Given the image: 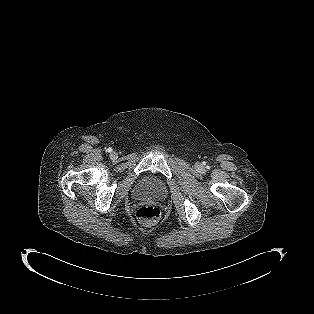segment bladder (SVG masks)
I'll use <instances>...</instances> for the list:
<instances>
[{
    "instance_id": "1",
    "label": "bladder",
    "mask_w": 314,
    "mask_h": 314,
    "mask_svg": "<svg viewBox=\"0 0 314 314\" xmlns=\"http://www.w3.org/2000/svg\"><path fill=\"white\" fill-rule=\"evenodd\" d=\"M166 192L167 189L164 182L157 178H147L137 187V193L140 196L157 200L163 199Z\"/></svg>"
}]
</instances>
